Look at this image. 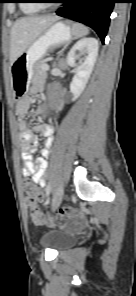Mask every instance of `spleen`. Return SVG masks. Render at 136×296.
I'll list each match as a JSON object with an SVG mask.
<instances>
[{"label":"spleen","instance_id":"3e777b00","mask_svg":"<svg viewBox=\"0 0 136 296\" xmlns=\"http://www.w3.org/2000/svg\"><path fill=\"white\" fill-rule=\"evenodd\" d=\"M72 32L76 37H83L89 34V29L82 24L75 23L73 24Z\"/></svg>","mask_w":136,"mask_h":296}]
</instances>
